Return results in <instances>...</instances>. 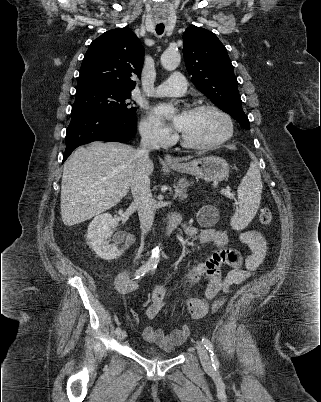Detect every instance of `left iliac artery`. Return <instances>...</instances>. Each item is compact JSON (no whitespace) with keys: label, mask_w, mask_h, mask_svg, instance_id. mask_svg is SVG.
I'll return each mask as SVG.
<instances>
[{"label":"left iliac artery","mask_w":321,"mask_h":402,"mask_svg":"<svg viewBox=\"0 0 321 402\" xmlns=\"http://www.w3.org/2000/svg\"><path fill=\"white\" fill-rule=\"evenodd\" d=\"M156 268V266L152 267V271H154ZM202 343L204 344L205 348L208 350L210 356H211V360H212V365L213 367H219V361L218 358L216 356L214 347L212 345V343L210 342V340L206 337L202 338Z\"/></svg>","instance_id":"left-iliac-artery-1"}]
</instances>
